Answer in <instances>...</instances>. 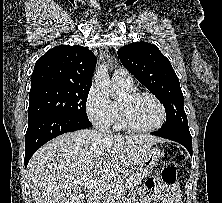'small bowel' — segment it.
I'll return each instance as SVG.
<instances>
[{
  "label": "small bowel",
  "instance_id": "small-bowel-1",
  "mask_svg": "<svg viewBox=\"0 0 222 203\" xmlns=\"http://www.w3.org/2000/svg\"><path fill=\"white\" fill-rule=\"evenodd\" d=\"M178 196L177 184H165L159 177H154L137 191L138 200L133 203H139V199L144 198H148L154 203H181Z\"/></svg>",
  "mask_w": 222,
  "mask_h": 203
}]
</instances>
